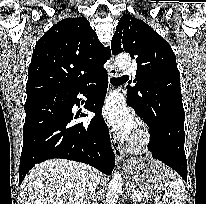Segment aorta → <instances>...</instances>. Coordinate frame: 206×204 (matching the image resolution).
<instances>
[{"instance_id": "762f6f07", "label": "aorta", "mask_w": 206, "mask_h": 204, "mask_svg": "<svg viewBox=\"0 0 206 204\" xmlns=\"http://www.w3.org/2000/svg\"><path fill=\"white\" fill-rule=\"evenodd\" d=\"M131 64V57L126 54L118 55L115 58V65L120 69H124ZM122 190V178L118 171H115L109 185L106 196V204H116L119 194Z\"/></svg>"}]
</instances>
